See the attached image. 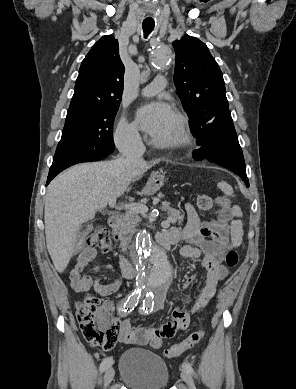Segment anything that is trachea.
<instances>
[{"label":"trachea","instance_id":"trachea-1","mask_svg":"<svg viewBox=\"0 0 296 389\" xmlns=\"http://www.w3.org/2000/svg\"><path fill=\"white\" fill-rule=\"evenodd\" d=\"M142 28L144 32V37L147 38V36L153 31L154 29V23L151 22H143Z\"/></svg>","mask_w":296,"mask_h":389}]
</instances>
